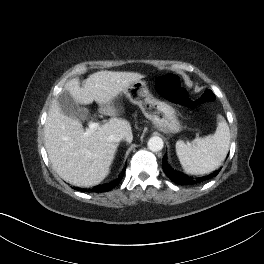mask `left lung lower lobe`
Here are the masks:
<instances>
[{"label":"left lung lower lobe","instance_id":"1","mask_svg":"<svg viewBox=\"0 0 264 264\" xmlns=\"http://www.w3.org/2000/svg\"><path fill=\"white\" fill-rule=\"evenodd\" d=\"M162 166H163V170L165 171L166 175L169 177V179L179 185H194V184H198L201 183L205 180H208L214 176H216L219 173V170L211 173L208 176L205 177H200L197 179H193L192 177H189L177 170L172 169V167L170 165L167 164L166 162V157L164 156L162 159Z\"/></svg>","mask_w":264,"mask_h":264}]
</instances>
